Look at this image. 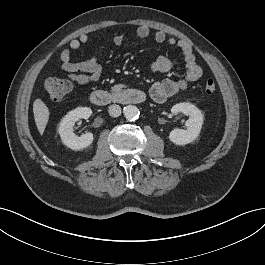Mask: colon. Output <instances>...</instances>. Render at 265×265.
<instances>
[{
  "label": "colon",
  "instance_id": "1",
  "mask_svg": "<svg viewBox=\"0 0 265 265\" xmlns=\"http://www.w3.org/2000/svg\"><path fill=\"white\" fill-rule=\"evenodd\" d=\"M44 89L52 101H60L70 92L71 86L66 80L49 77L44 83ZM216 90V84L212 80L205 83L204 91L206 94L213 95Z\"/></svg>",
  "mask_w": 265,
  "mask_h": 265
}]
</instances>
